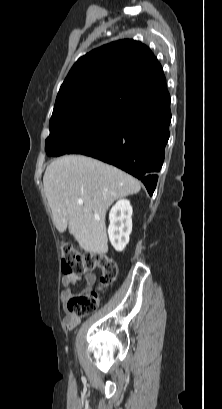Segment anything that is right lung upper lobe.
<instances>
[{
	"label": "right lung upper lobe",
	"instance_id": "obj_1",
	"mask_svg": "<svg viewBox=\"0 0 222 409\" xmlns=\"http://www.w3.org/2000/svg\"><path fill=\"white\" fill-rule=\"evenodd\" d=\"M160 63L144 44L119 40L78 59L60 87L53 112L101 102L125 104L166 94Z\"/></svg>",
	"mask_w": 222,
	"mask_h": 409
}]
</instances>
